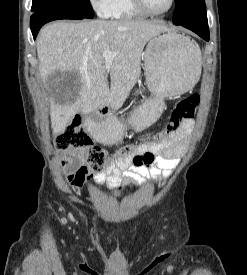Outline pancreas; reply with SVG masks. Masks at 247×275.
<instances>
[{
  "mask_svg": "<svg viewBox=\"0 0 247 275\" xmlns=\"http://www.w3.org/2000/svg\"><path fill=\"white\" fill-rule=\"evenodd\" d=\"M135 93H136V94H138V93H140V94H141L142 92L137 90Z\"/></svg>",
  "mask_w": 247,
  "mask_h": 275,
  "instance_id": "obj_1",
  "label": "pancreas"
}]
</instances>
